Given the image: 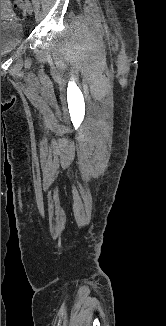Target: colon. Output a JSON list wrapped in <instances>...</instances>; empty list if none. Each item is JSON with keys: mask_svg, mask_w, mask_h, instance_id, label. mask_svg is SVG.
<instances>
[{"mask_svg": "<svg viewBox=\"0 0 166 326\" xmlns=\"http://www.w3.org/2000/svg\"><path fill=\"white\" fill-rule=\"evenodd\" d=\"M14 7L15 8H22L23 7L22 0H15L14 1Z\"/></svg>", "mask_w": 166, "mask_h": 326, "instance_id": "obj_1", "label": "colon"}]
</instances>
